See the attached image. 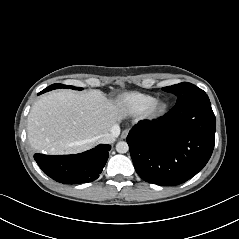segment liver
I'll return each mask as SVG.
<instances>
[{
  "label": "liver",
  "mask_w": 239,
  "mask_h": 239,
  "mask_svg": "<svg viewBox=\"0 0 239 239\" xmlns=\"http://www.w3.org/2000/svg\"><path fill=\"white\" fill-rule=\"evenodd\" d=\"M127 116L121 102L97 89L59 90L42 96L28 115L27 136L33 148L46 154H75L99 143Z\"/></svg>",
  "instance_id": "liver-1"
}]
</instances>
